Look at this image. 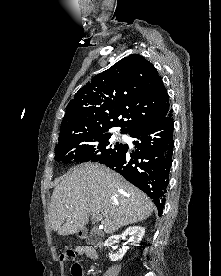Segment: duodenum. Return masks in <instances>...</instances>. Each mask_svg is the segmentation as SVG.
<instances>
[{"instance_id":"obj_1","label":"duodenum","mask_w":221,"mask_h":276,"mask_svg":"<svg viewBox=\"0 0 221 276\" xmlns=\"http://www.w3.org/2000/svg\"><path fill=\"white\" fill-rule=\"evenodd\" d=\"M86 234H87L86 231H81V232H79V235H80L81 237L86 236ZM97 246H101V243H98ZM91 247H92V246H91ZM92 248H93V247H92Z\"/></svg>"}]
</instances>
